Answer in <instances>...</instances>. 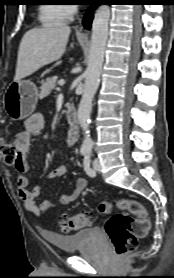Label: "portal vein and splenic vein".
<instances>
[{"mask_svg":"<svg viewBox=\"0 0 174 278\" xmlns=\"http://www.w3.org/2000/svg\"><path fill=\"white\" fill-rule=\"evenodd\" d=\"M64 83H65V82H64L63 80H60V81L58 82L59 86H63Z\"/></svg>","mask_w":174,"mask_h":278,"instance_id":"1","label":"portal vein and splenic vein"}]
</instances>
